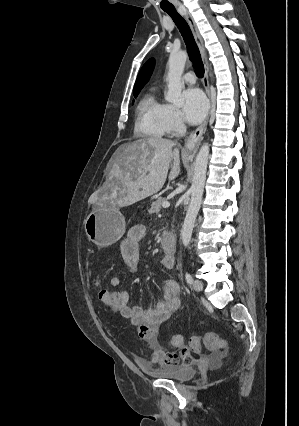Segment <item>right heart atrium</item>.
<instances>
[{
  "label": "right heart atrium",
  "mask_w": 299,
  "mask_h": 426,
  "mask_svg": "<svg viewBox=\"0 0 299 426\" xmlns=\"http://www.w3.org/2000/svg\"><path fill=\"white\" fill-rule=\"evenodd\" d=\"M166 125L167 131L169 133L179 132L184 127L183 119L180 115V112L170 105H168L167 108Z\"/></svg>",
  "instance_id": "obj_1"
}]
</instances>
